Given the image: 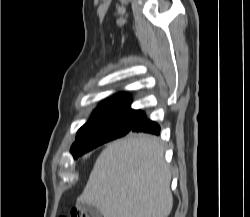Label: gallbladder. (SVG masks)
Instances as JSON below:
<instances>
[{
    "instance_id": "obj_1",
    "label": "gallbladder",
    "mask_w": 250,
    "mask_h": 217,
    "mask_svg": "<svg viewBox=\"0 0 250 217\" xmlns=\"http://www.w3.org/2000/svg\"><path fill=\"white\" fill-rule=\"evenodd\" d=\"M77 208L81 212L89 213L91 217H102L101 212L94 206L87 205V204H84V203H78Z\"/></svg>"
}]
</instances>
